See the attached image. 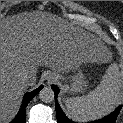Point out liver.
I'll return each instance as SVG.
<instances>
[{
  "label": "liver",
  "instance_id": "1",
  "mask_svg": "<svg viewBox=\"0 0 123 123\" xmlns=\"http://www.w3.org/2000/svg\"><path fill=\"white\" fill-rule=\"evenodd\" d=\"M104 45L94 35L43 12H25L1 20V123L15 117L39 66L68 73L94 62ZM28 72L29 81L21 78Z\"/></svg>",
  "mask_w": 123,
  "mask_h": 123
}]
</instances>
